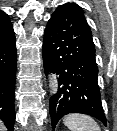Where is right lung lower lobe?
<instances>
[{
  "label": "right lung lower lobe",
  "mask_w": 117,
  "mask_h": 131,
  "mask_svg": "<svg viewBox=\"0 0 117 131\" xmlns=\"http://www.w3.org/2000/svg\"><path fill=\"white\" fill-rule=\"evenodd\" d=\"M16 39L12 25L0 32V119L12 131L15 121Z\"/></svg>",
  "instance_id": "1"
}]
</instances>
